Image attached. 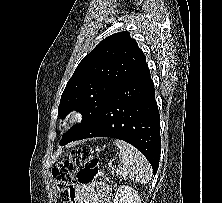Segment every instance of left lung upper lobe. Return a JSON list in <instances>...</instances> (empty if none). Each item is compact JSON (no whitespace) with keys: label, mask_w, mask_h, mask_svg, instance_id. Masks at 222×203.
Returning <instances> with one entry per match:
<instances>
[{"label":"left lung upper lobe","mask_w":222,"mask_h":203,"mask_svg":"<svg viewBox=\"0 0 222 203\" xmlns=\"http://www.w3.org/2000/svg\"><path fill=\"white\" fill-rule=\"evenodd\" d=\"M145 58L137 42L123 31L103 39L77 66L61 96L59 117L77 110L83 120L63 134L60 145L71 142L97 116L112 93Z\"/></svg>","instance_id":"1"}]
</instances>
